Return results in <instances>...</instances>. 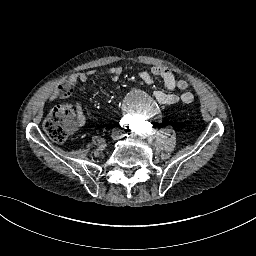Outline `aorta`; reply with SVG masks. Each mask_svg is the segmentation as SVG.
<instances>
[{"instance_id":"obj_1","label":"aorta","mask_w":256,"mask_h":256,"mask_svg":"<svg viewBox=\"0 0 256 256\" xmlns=\"http://www.w3.org/2000/svg\"><path fill=\"white\" fill-rule=\"evenodd\" d=\"M124 109L126 113L142 122L153 120L158 112L159 105L151 94L144 89H133L124 98Z\"/></svg>"}]
</instances>
